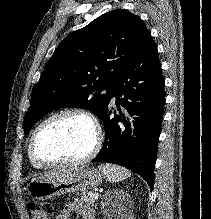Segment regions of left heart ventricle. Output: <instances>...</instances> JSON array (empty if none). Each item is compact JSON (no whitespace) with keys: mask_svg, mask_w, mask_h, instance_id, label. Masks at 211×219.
Masks as SVG:
<instances>
[{"mask_svg":"<svg viewBox=\"0 0 211 219\" xmlns=\"http://www.w3.org/2000/svg\"><path fill=\"white\" fill-rule=\"evenodd\" d=\"M94 142L90 124L77 116H63L40 132L35 149L46 161H72L86 155Z\"/></svg>","mask_w":211,"mask_h":219,"instance_id":"obj_1","label":"left heart ventricle"}]
</instances>
